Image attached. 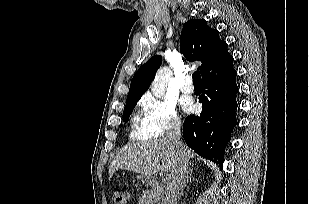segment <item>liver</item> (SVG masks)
<instances>
[{
    "mask_svg": "<svg viewBox=\"0 0 309 204\" xmlns=\"http://www.w3.org/2000/svg\"><path fill=\"white\" fill-rule=\"evenodd\" d=\"M184 147L188 159L193 158L195 153ZM176 164L175 150L166 139L131 143L123 147L114 157L109 169V178L118 169H127L148 177L160 170L170 172L172 175Z\"/></svg>",
    "mask_w": 309,
    "mask_h": 204,
    "instance_id": "1",
    "label": "liver"
}]
</instances>
